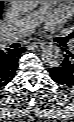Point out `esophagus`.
I'll return each mask as SVG.
<instances>
[{"label": "esophagus", "mask_w": 74, "mask_h": 122, "mask_svg": "<svg viewBox=\"0 0 74 122\" xmlns=\"http://www.w3.org/2000/svg\"><path fill=\"white\" fill-rule=\"evenodd\" d=\"M31 46L36 49H41V48L45 47V43L44 42H34L31 44Z\"/></svg>", "instance_id": "1"}]
</instances>
